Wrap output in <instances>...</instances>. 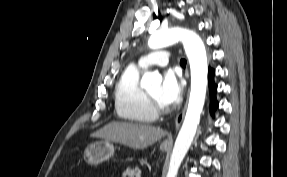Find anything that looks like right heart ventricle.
Returning <instances> with one entry per match:
<instances>
[{
  "mask_svg": "<svg viewBox=\"0 0 287 177\" xmlns=\"http://www.w3.org/2000/svg\"><path fill=\"white\" fill-rule=\"evenodd\" d=\"M142 68L130 65L122 73L114 91V107L118 118L131 123H150L156 118L145 90L140 85Z\"/></svg>",
  "mask_w": 287,
  "mask_h": 177,
  "instance_id": "e07e8e85",
  "label": "right heart ventricle"
}]
</instances>
